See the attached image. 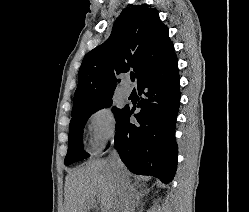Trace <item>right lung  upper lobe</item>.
<instances>
[{"label":"right lung upper lobe","mask_w":249,"mask_h":212,"mask_svg":"<svg viewBox=\"0 0 249 212\" xmlns=\"http://www.w3.org/2000/svg\"><path fill=\"white\" fill-rule=\"evenodd\" d=\"M173 55L168 28L156 9L146 4L125 8L116 19L109 39L84 57L73 109L112 96L120 82L116 76L121 73L133 70L139 84Z\"/></svg>","instance_id":"right-lung-upper-lobe-1"}]
</instances>
